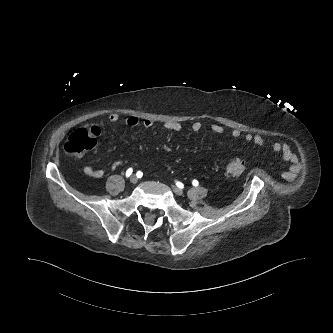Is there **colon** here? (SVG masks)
Returning <instances> with one entry per match:
<instances>
[{
    "mask_svg": "<svg viewBox=\"0 0 333 333\" xmlns=\"http://www.w3.org/2000/svg\"><path fill=\"white\" fill-rule=\"evenodd\" d=\"M100 128L96 125L86 126L75 130L64 144V151L73 156H81L93 149L97 143ZM245 171L242 160L231 159L226 164V173L231 177H239Z\"/></svg>",
    "mask_w": 333,
    "mask_h": 333,
    "instance_id": "obj_1",
    "label": "colon"
}]
</instances>
